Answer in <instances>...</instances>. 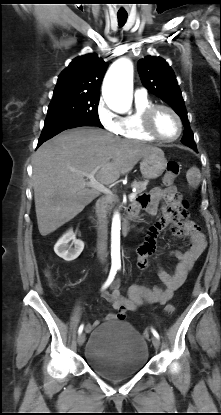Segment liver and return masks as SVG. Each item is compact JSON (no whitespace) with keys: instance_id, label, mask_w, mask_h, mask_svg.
Listing matches in <instances>:
<instances>
[{"instance_id":"obj_1","label":"liver","mask_w":221,"mask_h":415,"mask_svg":"<svg viewBox=\"0 0 221 415\" xmlns=\"http://www.w3.org/2000/svg\"><path fill=\"white\" fill-rule=\"evenodd\" d=\"M157 147L115 137L102 129L80 127L64 131L33 155V188L39 232L46 236L72 220L94 198L85 174L112 184L129 173ZM89 187V186H88Z\"/></svg>"}]
</instances>
